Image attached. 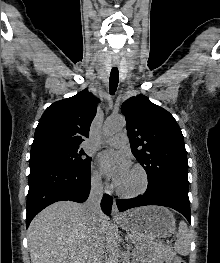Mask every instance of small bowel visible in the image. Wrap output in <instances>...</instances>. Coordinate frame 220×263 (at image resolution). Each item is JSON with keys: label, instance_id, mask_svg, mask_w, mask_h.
I'll list each match as a JSON object with an SVG mask.
<instances>
[{"label": "small bowel", "instance_id": "1", "mask_svg": "<svg viewBox=\"0 0 220 263\" xmlns=\"http://www.w3.org/2000/svg\"><path fill=\"white\" fill-rule=\"evenodd\" d=\"M155 263H162V262H160V261H156Z\"/></svg>", "mask_w": 220, "mask_h": 263}]
</instances>
